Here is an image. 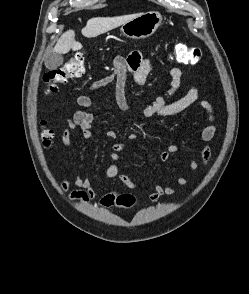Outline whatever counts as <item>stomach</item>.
<instances>
[{"instance_id": "1", "label": "stomach", "mask_w": 249, "mask_h": 294, "mask_svg": "<svg viewBox=\"0 0 249 294\" xmlns=\"http://www.w3.org/2000/svg\"><path fill=\"white\" fill-rule=\"evenodd\" d=\"M161 21L162 16L160 13L148 11L123 24L121 32L130 39H145L155 33Z\"/></svg>"}]
</instances>
